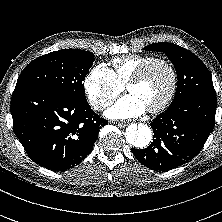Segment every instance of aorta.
Here are the masks:
<instances>
[{"label": "aorta", "instance_id": "762f6f07", "mask_svg": "<svg viewBox=\"0 0 222 222\" xmlns=\"http://www.w3.org/2000/svg\"><path fill=\"white\" fill-rule=\"evenodd\" d=\"M126 142L133 148L143 149L147 147L152 140V131L145 124H131L125 132Z\"/></svg>", "mask_w": 222, "mask_h": 222}]
</instances>
